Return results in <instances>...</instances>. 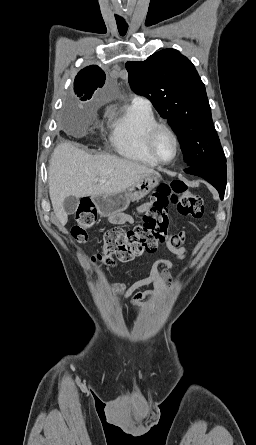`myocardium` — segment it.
I'll return each instance as SVG.
<instances>
[{
  "instance_id": "1",
  "label": "myocardium",
  "mask_w": 256,
  "mask_h": 445,
  "mask_svg": "<svg viewBox=\"0 0 256 445\" xmlns=\"http://www.w3.org/2000/svg\"><path fill=\"white\" fill-rule=\"evenodd\" d=\"M162 131L168 132L172 136V138L174 140V143H175V154H174L173 158L171 160H169V161L163 160L158 155L157 150H156V139H157L158 134L160 132H162ZM147 149H148V152L151 155V157L158 164L169 165V164H172L173 162H175L176 159L178 158L179 154H180V140H179V137H178L177 133L169 125L164 124V123H156L148 131V134H147Z\"/></svg>"
}]
</instances>
